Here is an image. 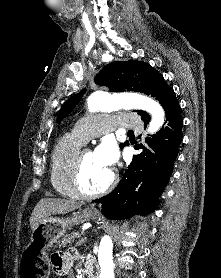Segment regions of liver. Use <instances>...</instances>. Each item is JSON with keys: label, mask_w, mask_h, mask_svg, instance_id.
Listing matches in <instances>:
<instances>
[{"label": "liver", "mask_w": 221, "mask_h": 278, "mask_svg": "<svg viewBox=\"0 0 221 278\" xmlns=\"http://www.w3.org/2000/svg\"><path fill=\"white\" fill-rule=\"evenodd\" d=\"M82 204L68 199L43 198L35 206L31 217L32 231L46 218L56 214H66L81 207Z\"/></svg>", "instance_id": "liver-1"}]
</instances>
